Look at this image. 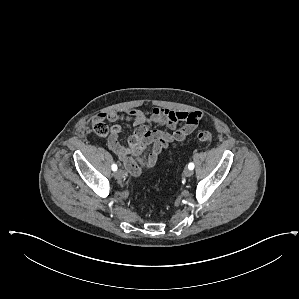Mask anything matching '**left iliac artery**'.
I'll return each mask as SVG.
<instances>
[{"mask_svg": "<svg viewBox=\"0 0 299 299\" xmlns=\"http://www.w3.org/2000/svg\"><path fill=\"white\" fill-rule=\"evenodd\" d=\"M188 168L190 169V170H193L194 169V163H189V165H188Z\"/></svg>", "mask_w": 299, "mask_h": 299, "instance_id": "obj_1", "label": "left iliac artery"}]
</instances>
